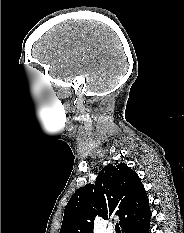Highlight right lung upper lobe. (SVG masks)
I'll use <instances>...</instances> for the list:
<instances>
[{"instance_id":"right-lung-upper-lobe-1","label":"right lung upper lobe","mask_w":184,"mask_h":233,"mask_svg":"<svg viewBox=\"0 0 184 233\" xmlns=\"http://www.w3.org/2000/svg\"><path fill=\"white\" fill-rule=\"evenodd\" d=\"M136 172L124 163L108 164L95 185L79 188L68 201L60 233H93L94 217L119 216L120 226L139 216L149 205Z\"/></svg>"}]
</instances>
